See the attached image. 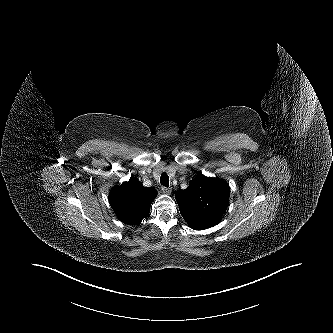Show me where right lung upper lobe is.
I'll return each mask as SVG.
<instances>
[{
    "mask_svg": "<svg viewBox=\"0 0 333 333\" xmlns=\"http://www.w3.org/2000/svg\"><path fill=\"white\" fill-rule=\"evenodd\" d=\"M157 196L153 187H144L137 179L114 187L109 193V203L118 219L126 224H136L148 216L150 205Z\"/></svg>",
    "mask_w": 333,
    "mask_h": 333,
    "instance_id": "obj_1",
    "label": "right lung upper lobe"
}]
</instances>
